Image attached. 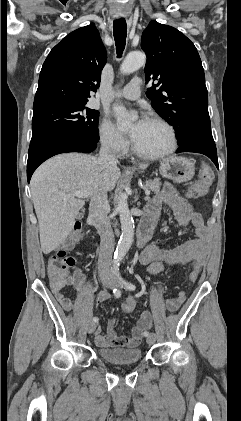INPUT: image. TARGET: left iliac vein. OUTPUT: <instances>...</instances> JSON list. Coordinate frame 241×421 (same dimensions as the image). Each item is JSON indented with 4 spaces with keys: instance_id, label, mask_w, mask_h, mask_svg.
<instances>
[{
    "instance_id": "left-iliac-vein-1",
    "label": "left iliac vein",
    "mask_w": 241,
    "mask_h": 421,
    "mask_svg": "<svg viewBox=\"0 0 241 421\" xmlns=\"http://www.w3.org/2000/svg\"><path fill=\"white\" fill-rule=\"evenodd\" d=\"M113 284H114L115 286H117V287H119V286H120V283H119L118 281H116V280L113 282ZM146 341H147V343H148L149 345L154 344V343H155V341H156V335H155L154 333H150V334L147 336Z\"/></svg>"
}]
</instances>
